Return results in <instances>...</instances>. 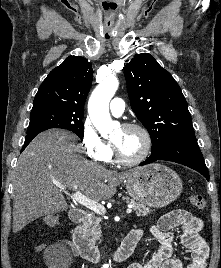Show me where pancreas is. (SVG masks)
Here are the masks:
<instances>
[{
	"label": "pancreas",
	"mask_w": 221,
	"mask_h": 268,
	"mask_svg": "<svg viewBox=\"0 0 221 268\" xmlns=\"http://www.w3.org/2000/svg\"><path fill=\"white\" fill-rule=\"evenodd\" d=\"M124 199L127 200V198ZM129 203L133 206L137 216H147L152 212L150 208L139 202H136L135 200H130ZM100 221V217L92 215L88 218V222L84 223L83 225L84 233L92 243H96V241L101 237Z\"/></svg>",
	"instance_id": "obj_1"
}]
</instances>
